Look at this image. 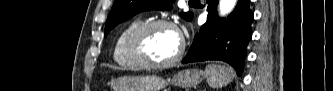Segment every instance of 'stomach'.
<instances>
[{
	"mask_svg": "<svg viewBox=\"0 0 333 91\" xmlns=\"http://www.w3.org/2000/svg\"><path fill=\"white\" fill-rule=\"evenodd\" d=\"M205 73L197 69L178 72L171 82L179 87H193L205 77ZM167 82L158 76H121L112 82L113 91H161Z\"/></svg>",
	"mask_w": 333,
	"mask_h": 91,
	"instance_id": "1",
	"label": "stomach"
}]
</instances>
